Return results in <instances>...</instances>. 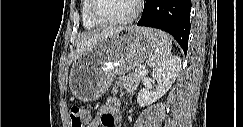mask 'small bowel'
Segmentation results:
<instances>
[{
	"instance_id": "1",
	"label": "small bowel",
	"mask_w": 243,
	"mask_h": 127,
	"mask_svg": "<svg viewBox=\"0 0 243 127\" xmlns=\"http://www.w3.org/2000/svg\"><path fill=\"white\" fill-rule=\"evenodd\" d=\"M120 102L111 97L101 106L95 117L88 116L87 127H118L120 126L119 116Z\"/></svg>"
}]
</instances>
